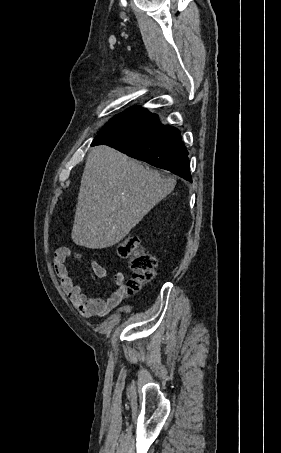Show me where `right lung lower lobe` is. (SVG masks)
I'll use <instances>...</instances> for the list:
<instances>
[{
  "label": "right lung lower lobe",
  "mask_w": 281,
  "mask_h": 453,
  "mask_svg": "<svg viewBox=\"0 0 281 453\" xmlns=\"http://www.w3.org/2000/svg\"><path fill=\"white\" fill-rule=\"evenodd\" d=\"M101 144L192 182L188 151L179 130L161 124L145 108L133 107L112 118L92 142V146Z\"/></svg>",
  "instance_id": "right-lung-lower-lobe-1"
}]
</instances>
